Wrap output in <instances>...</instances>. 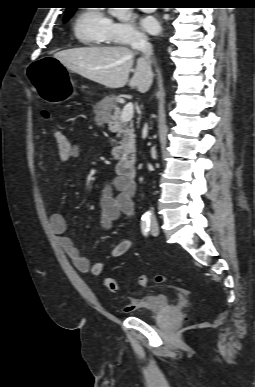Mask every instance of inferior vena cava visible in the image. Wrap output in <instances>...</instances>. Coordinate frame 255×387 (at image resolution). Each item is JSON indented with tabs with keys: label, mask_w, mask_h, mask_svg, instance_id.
<instances>
[{
	"label": "inferior vena cava",
	"mask_w": 255,
	"mask_h": 387,
	"mask_svg": "<svg viewBox=\"0 0 255 387\" xmlns=\"http://www.w3.org/2000/svg\"><path fill=\"white\" fill-rule=\"evenodd\" d=\"M133 49H136L142 52L144 59L146 61V67L151 72V56L153 54L152 46L148 42V39L145 36H137L131 44ZM148 89H146L147 91ZM152 221H155V216H151Z\"/></svg>",
	"instance_id": "inferior-vena-cava-1"
}]
</instances>
